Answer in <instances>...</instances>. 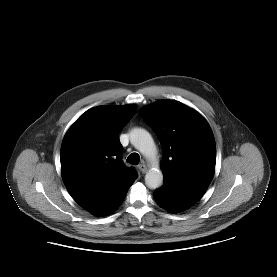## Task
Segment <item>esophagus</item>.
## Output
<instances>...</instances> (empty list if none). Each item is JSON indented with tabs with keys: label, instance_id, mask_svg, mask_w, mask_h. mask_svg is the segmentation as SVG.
Returning a JSON list of instances; mask_svg holds the SVG:
<instances>
[{
	"label": "esophagus",
	"instance_id": "esophagus-1",
	"mask_svg": "<svg viewBox=\"0 0 277 277\" xmlns=\"http://www.w3.org/2000/svg\"><path fill=\"white\" fill-rule=\"evenodd\" d=\"M139 170L142 172V173H146L147 172V165L142 163L138 166Z\"/></svg>",
	"mask_w": 277,
	"mask_h": 277
}]
</instances>
